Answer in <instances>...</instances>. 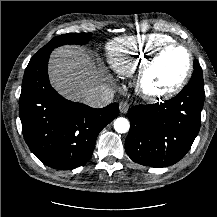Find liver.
Here are the masks:
<instances>
[{"label":"liver","mask_w":217,"mask_h":217,"mask_svg":"<svg viewBox=\"0 0 217 217\" xmlns=\"http://www.w3.org/2000/svg\"><path fill=\"white\" fill-rule=\"evenodd\" d=\"M48 71L52 86L73 101H83L93 88L99 86V71L91 57L78 46L55 49L50 55Z\"/></svg>","instance_id":"1"}]
</instances>
